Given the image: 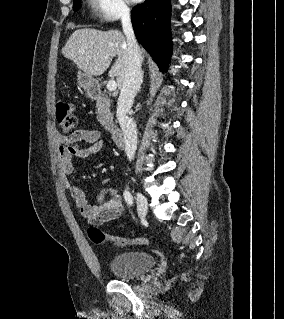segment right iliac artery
Listing matches in <instances>:
<instances>
[{"label":"right iliac artery","instance_id":"right-iliac-artery-1","mask_svg":"<svg viewBox=\"0 0 284 319\" xmlns=\"http://www.w3.org/2000/svg\"><path fill=\"white\" fill-rule=\"evenodd\" d=\"M125 201L128 205L132 206L133 205V197L128 191H124L123 193Z\"/></svg>","mask_w":284,"mask_h":319}]
</instances>
